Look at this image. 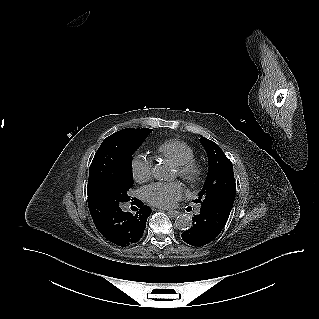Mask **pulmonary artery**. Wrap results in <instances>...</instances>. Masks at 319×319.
<instances>
[{
	"mask_svg": "<svg viewBox=\"0 0 319 319\" xmlns=\"http://www.w3.org/2000/svg\"><path fill=\"white\" fill-rule=\"evenodd\" d=\"M199 211H200V209H199V208H197V209H196V213H199Z\"/></svg>",
	"mask_w": 319,
	"mask_h": 319,
	"instance_id": "e3ab8cb5",
	"label": "pulmonary artery"
}]
</instances>
